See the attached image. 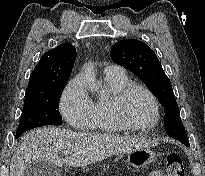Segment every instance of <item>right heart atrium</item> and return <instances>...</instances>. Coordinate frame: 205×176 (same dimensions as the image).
<instances>
[{
    "label": "right heart atrium",
    "mask_w": 205,
    "mask_h": 176,
    "mask_svg": "<svg viewBox=\"0 0 205 176\" xmlns=\"http://www.w3.org/2000/svg\"><path fill=\"white\" fill-rule=\"evenodd\" d=\"M58 105L63 118L71 127L84 130L89 126L94 113V105L80 76L68 82Z\"/></svg>",
    "instance_id": "right-heart-atrium-1"
}]
</instances>
